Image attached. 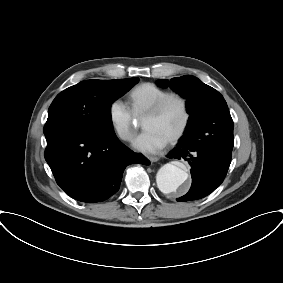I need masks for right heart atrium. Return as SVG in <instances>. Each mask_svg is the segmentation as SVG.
<instances>
[{"instance_id":"right-heart-atrium-1","label":"right heart atrium","mask_w":283,"mask_h":283,"mask_svg":"<svg viewBox=\"0 0 283 283\" xmlns=\"http://www.w3.org/2000/svg\"><path fill=\"white\" fill-rule=\"evenodd\" d=\"M108 118L111 128L121 140L133 139L136 132L134 115L127 104L120 99L113 100L109 106Z\"/></svg>"}]
</instances>
